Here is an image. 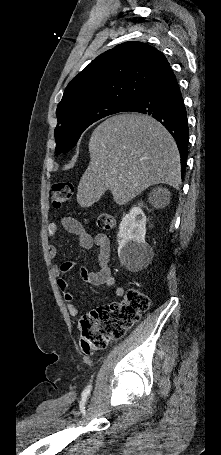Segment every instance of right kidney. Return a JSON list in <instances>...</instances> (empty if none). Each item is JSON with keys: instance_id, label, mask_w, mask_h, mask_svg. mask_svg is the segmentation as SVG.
<instances>
[{"instance_id": "right-kidney-1", "label": "right kidney", "mask_w": 221, "mask_h": 455, "mask_svg": "<svg viewBox=\"0 0 221 455\" xmlns=\"http://www.w3.org/2000/svg\"><path fill=\"white\" fill-rule=\"evenodd\" d=\"M146 216L140 207H132L122 218L119 226L118 257L128 270L143 266L151 257L152 250L145 241Z\"/></svg>"}]
</instances>
